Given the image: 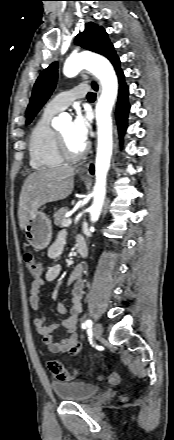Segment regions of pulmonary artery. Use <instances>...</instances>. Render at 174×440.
<instances>
[{
  "mask_svg": "<svg viewBox=\"0 0 174 440\" xmlns=\"http://www.w3.org/2000/svg\"><path fill=\"white\" fill-rule=\"evenodd\" d=\"M88 92L89 87L86 84L77 85L73 89L64 91L51 99L47 103L45 111L58 113L66 109L75 99L86 96Z\"/></svg>",
  "mask_w": 174,
  "mask_h": 440,
  "instance_id": "pulmonary-artery-1",
  "label": "pulmonary artery"
}]
</instances>
